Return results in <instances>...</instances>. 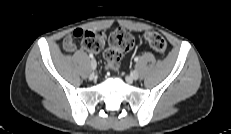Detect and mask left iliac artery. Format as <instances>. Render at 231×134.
Instances as JSON below:
<instances>
[{
    "label": "left iliac artery",
    "mask_w": 231,
    "mask_h": 134,
    "mask_svg": "<svg viewBox=\"0 0 231 134\" xmlns=\"http://www.w3.org/2000/svg\"><path fill=\"white\" fill-rule=\"evenodd\" d=\"M138 60H139L138 57H135V58H134V61H135V62H138Z\"/></svg>",
    "instance_id": "1"
}]
</instances>
